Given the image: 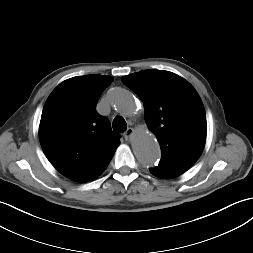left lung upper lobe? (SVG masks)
Masks as SVG:
<instances>
[{
  "mask_svg": "<svg viewBox=\"0 0 253 253\" xmlns=\"http://www.w3.org/2000/svg\"><path fill=\"white\" fill-rule=\"evenodd\" d=\"M142 100L145 120L161 147L159 165L189 169L206 141L203 103L192 85L163 70H143L122 77Z\"/></svg>",
  "mask_w": 253,
  "mask_h": 253,
  "instance_id": "left-lung-upper-lobe-1",
  "label": "left lung upper lobe"
}]
</instances>
